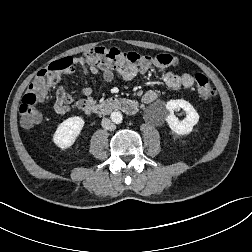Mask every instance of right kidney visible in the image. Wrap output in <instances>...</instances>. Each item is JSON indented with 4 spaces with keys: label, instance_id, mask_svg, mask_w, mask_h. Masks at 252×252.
Segmentation results:
<instances>
[{
    "label": "right kidney",
    "instance_id": "ca27d5eb",
    "mask_svg": "<svg viewBox=\"0 0 252 252\" xmlns=\"http://www.w3.org/2000/svg\"><path fill=\"white\" fill-rule=\"evenodd\" d=\"M83 118L79 116L70 117L59 124L53 135V142L61 149H67L72 146L79 136L83 126Z\"/></svg>",
    "mask_w": 252,
    "mask_h": 252
}]
</instances>
